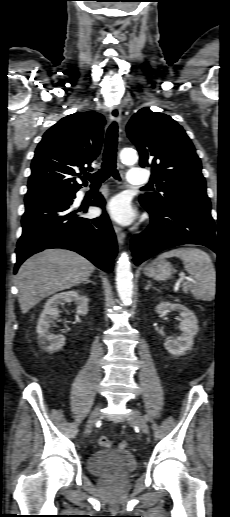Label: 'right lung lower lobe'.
<instances>
[{
	"label": "right lung lower lobe",
	"instance_id": "obj_1",
	"mask_svg": "<svg viewBox=\"0 0 230 517\" xmlns=\"http://www.w3.org/2000/svg\"><path fill=\"white\" fill-rule=\"evenodd\" d=\"M74 198L73 194L65 201L42 200L25 204L14 273L28 257L50 248L78 252L98 268L112 271L117 244L108 215L104 212L94 219L78 217L79 211L70 209ZM91 205L103 208L105 200L99 194Z\"/></svg>",
	"mask_w": 230,
	"mask_h": 517
}]
</instances>
